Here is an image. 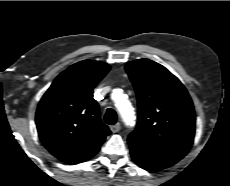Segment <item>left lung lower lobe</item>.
Returning <instances> with one entry per match:
<instances>
[{"instance_id":"left-lung-lower-lobe-1","label":"left lung lower lobe","mask_w":230,"mask_h":186,"mask_svg":"<svg viewBox=\"0 0 230 186\" xmlns=\"http://www.w3.org/2000/svg\"><path fill=\"white\" fill-rule=\"evenodd\" d=\"M130 152L135 163L148 171L162 170L174 165L179 161L170 157L143 153L133 147H130Z\"/></svg>"}]
</instances>
